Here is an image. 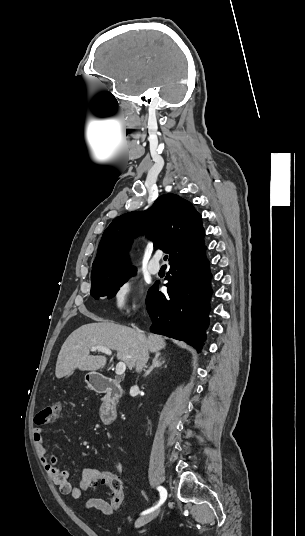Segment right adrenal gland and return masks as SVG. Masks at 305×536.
<instances>
[{"mask_svg": "<svg viewBox=\"0 0 305 536\" xmlns=\"http://www.w3.org/2000/svg\"><path fill=\"white\" fill-rule=\"evenodd\" d=\"M159 356H161L160 352H156L155 358H154V360L152 362V366H150L149 370H145L144 376H148V374H150V372H152V370H154V368H160V366H162V364H165V362H160Z\"/></svg>", "mask_w": 305, "mask_h": 536, "instance_id": "1", "label": "right adrenal gland"}]
</instances>
